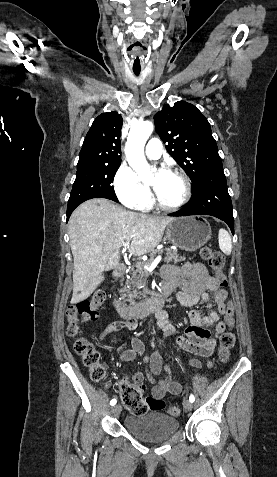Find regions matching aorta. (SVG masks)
Returning <instances> with one entry per match:
<instances>
[{"label":"aorta","instance_id":"762f6f07","mask_svg":"<svg viewBox=\"0 0 277 477\" xmlns=\"http://www.w3.org/2000/svg\"><path fill=\"white\" fill-rule=\"evenodd\" d=\"M154 126L150 121L137 122L131 125L128 134L125 154L129 165L140 176L143 182L153 180L152 170L144 156V146L153 132Z\"/></svg>","mask_w":277,"mask_h":477}]
</instances>
